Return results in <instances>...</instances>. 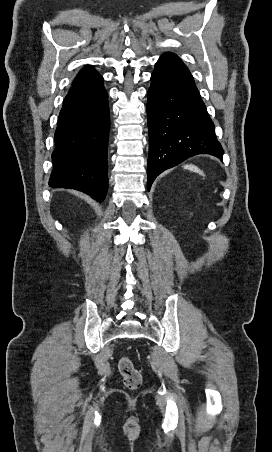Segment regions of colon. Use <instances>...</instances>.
<instances>
[{"label": "colon", "mask_w": 272, "mask_h": 452, "mask_svg": "<svg viewBox=\"0 0 272 452\" xmlns=\"http://www.w3.org/2000/svg\"><path fill=\"white\" fill-rule=\"evenodd\" d=\"M118 370L124 379L126 387L130 390H136L141 386L142 375L134 366L128 357H122L118 361Z\"/></svg>", "instance_id": "1"}]
</instances>
